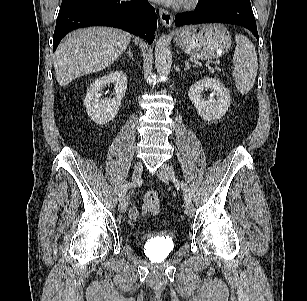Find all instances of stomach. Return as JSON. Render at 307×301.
<instances>
[{"label": "stomach", "instance_id": "obj_1", "mask_svg": "<svg viewBox=\"0 0 307 301\" xmlns=\"http://www.w3.org/2000/svg\"><path fill=\"white\" fill-rule=\"evenodd\" d=\"M175 41L185 53L200 60L223 56L232 43L227 28L218 23L183 27L176 32Z\"/></svg>", "mask_w": 307, "mask_h": 301}]
</instances>
